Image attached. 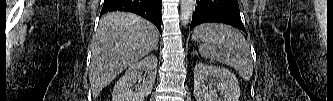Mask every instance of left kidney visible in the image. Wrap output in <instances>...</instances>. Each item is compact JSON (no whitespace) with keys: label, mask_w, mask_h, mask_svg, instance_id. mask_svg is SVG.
Instances as JSON below:
<instances>
[{"label":"left kidney","mask_w":333,"mask_h":101,"mask_svg":"<svg viewBox=\"0 0 333 101\" xmlns=\"http://www.w3.org/2000/svg\"><path fill=\"white\" fill-rule=\"evenodd\" d=\"M209 76L221 80L216 85L221 91V98H218L217 90L213 89L212 85H205ZM194 94L197 101H238V79L229 69L197 63L194 69Z\"/></svg>","instance_id":"left-kidney-1"}]
</instances>
